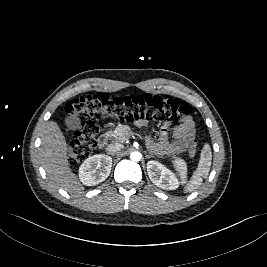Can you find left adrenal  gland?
Returning <instances> with one entry per match:
<instances>
[{"mask_svg":"<svg viewBox=\"0 0 267 267\" xmlns=\"http://www.w3.org/2000/svg\"><path fill=\"white\" fill-rule=\"evenodd\" d=\"M151 157H153V156L146 154V158H151Z\"/></svg>","mask_w":267,"mask_h":267,"instance_id":"left-adrenal-gland-1","label":"left adrenal gland"}]
</instances>
